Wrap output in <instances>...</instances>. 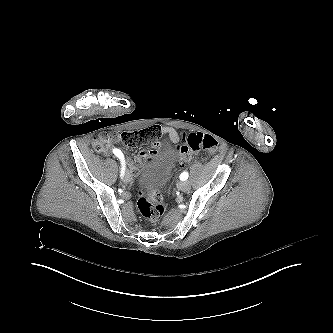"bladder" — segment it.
Here are the masks:
<instances>
[{
	"label": "bladder",
	"instance_id": "31cf9c89",
	"mask_svg": "<svg viewBox=\"0 0 333 333\" xmlns=\"http://www.w3.org/2000/svg\"><path fill=\"white\" fill-rule=\"evenodd\" d=\"M176 154L175 144L155 150L138 175L144 192L153 193L168 187L175 167Z\"/></svg>",
	"mask_w": 333,
	"mask_h": 333
}]
</instances>
